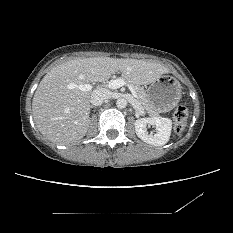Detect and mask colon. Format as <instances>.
<instances>
[{
	"mask_svg": "<svg viewBox=\"0 0 233 233\" xmlns=\"http://www.w3.org/2000/svg\"><path fill=\"white\" fill-rule=\"evenodd\" d=\"M188 109L186 106L179 105L174 111V128L177 132L183 131L186 126Z\"/></svg>",
	"mask_w": 233,
	"mask_h": 233,
	"instance_id": "obj_1",
	"label": "colon"
}]
</instances>
